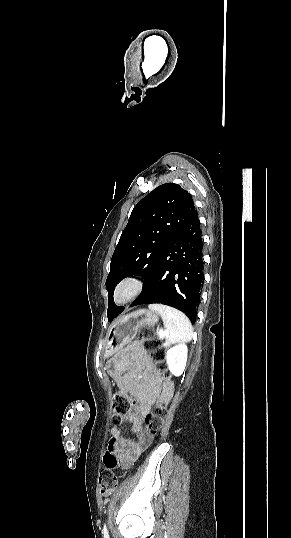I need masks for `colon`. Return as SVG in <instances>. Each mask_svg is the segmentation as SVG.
Here are the masks:
<instances>
[{"instance_id": "5ec220e1", "label": "colon", "mask_w": 291, "mask_h": 538, "mask_svg": "<svg viewBox=\"0 0 291 538\" xmlns=\"http://www.w3.org/2000/svg\"><path fill=\"white\" fill-rule=\"evenodd\" d=\"M139 339L146 349L150 359L159 365L164 359V350L155 337L153 328L142 327L139 330ZM143 378L142 376L140 377ZM134 405V399L125 393L119 392L112 398L113 418L120 421L125 417ZM168 415V407L165 403H158L152 411L146 416L147 430L151 435H156L163 426L164 420ZM105 468L99 476V486L102 495H111L115 492L118 480L113 473V468L117 465V459L111 449H107L104 455Z\"/></svg>"}]
</instances>
